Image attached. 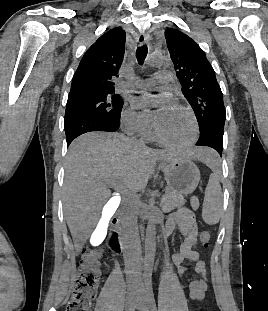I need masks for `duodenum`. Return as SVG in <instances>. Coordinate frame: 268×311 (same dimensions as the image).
Masks as SVG:
<instances>
[{"label": "duodenum", "instance_id": "410a0bca", "mask_svg": "<svg viewBox=\"0 0 268 311\" xmlns=\"http://www.w3.org/2000/svg\"><path fill=\"white\" fill-rule=\"evenodd\" d=\"M119 220L117 217L112 218L110 222V232L108 238L109 248L115 253H121L125 247L126 241L119 229ZM159 237H164V233H160Z\"/></svg>", "mask_w": 268, "mask_h": 311}]
</instances>
